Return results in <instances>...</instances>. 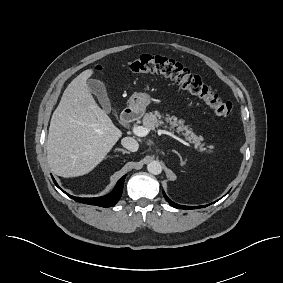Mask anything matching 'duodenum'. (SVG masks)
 Listing matches in <instances>:
<instances>
[{"label": "duodenum", "mask_w": 283, "mask_h": 283, "mask_svg": "<svg viewBox=\"0 0 283 283\" xmlns=\"http://www.w3.org/2000/svg\"><path fill=\"white\" fill-rule=\"evenodd\" d=\"M138 116V111L135 108H128L122 112L120 116V123L122 125L129 124L133 122Z\"/></svg>", "instance_id": "obj_1"}]
</instances>
